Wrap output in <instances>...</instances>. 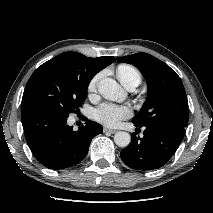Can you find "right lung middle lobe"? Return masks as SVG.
I'll return each instance as SVG.
<instances>
[{"mask_svg": "<svg viewBox=\"0 0 213 213\" xmlns=\"http://www.w3.org/2000/svg\"><path fill=\"white\" fill-rule=\"evenodd\" d=\"M92 78L80 67L53 58L31 75L21 105L42 106L68 117L79 111Z\"/></svg>", "mask_w": 213, "mask_h": 213, "instance_id": "dd1d6c3e", "label": "right lung middle lobe"}]
</instances>
